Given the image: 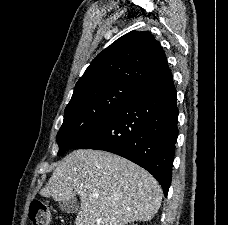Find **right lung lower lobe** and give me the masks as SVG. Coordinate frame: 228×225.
Listing matches in <instances>:
<instances>
[{
    "mask_svg": "<svg viewBox=\"0 0 228 225\" xmlns=\"http://www.w3.org/2000/svg\"><path fill=\"white\" fill-rule=\"evenodd\" d=\"M176 89L166 66L72 148L120 155L149 171L167 196L178 136Z\"/></svg>",
    "mask_w": 228,
    "mask_h": 225,
    "instance_id": "98d812e1",
    "label": "right lung lower lobe"
}]
</instances>
